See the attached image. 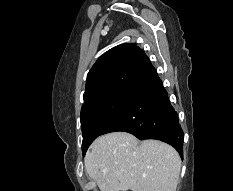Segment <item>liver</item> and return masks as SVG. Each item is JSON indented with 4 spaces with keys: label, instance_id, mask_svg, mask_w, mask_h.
<instances>
[{
    "label": "liver",
    "instance_id": "obj_1",
    "mask_svg": "<svg viewBox=\"0 0 233 191\" xmlns=\"http://www.w3.org/2000/svg\"><path fill=\"white\" fill-rule=\"evenodd\" d=\"M100 191H176L181 159L170 145L126 132L98 137L84 160Z\"/></svg>",
    "mask_w": 233,
    "mask_h": 191
}]
</instances>
